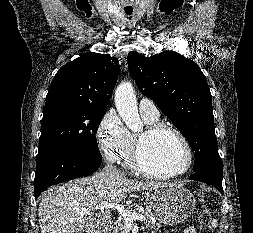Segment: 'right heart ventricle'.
Here are the masks:
<instances>
[{"label": "right heart ventricle", "instance_id": "e07e8e85", "mask_svg": "<svg viewBox=\"0 0 253 233\" xmlns=\"http://www.w3.org/2000/svg\"><path fill=\"white\" fill-rule=\"evenodd\" d=\"M143 119L147 125H150V124L156 123L158 118L153 119V118L143 117ZM136 139H137V134L129 133L128 146L122 156V159L124 161V165L133 171H136L134 164H133V151H134Z\"/></svg>", "mask_w": 253, "mask_h": 233}]
</instances>
